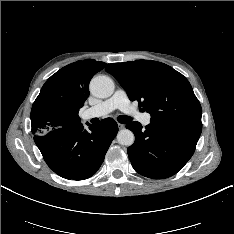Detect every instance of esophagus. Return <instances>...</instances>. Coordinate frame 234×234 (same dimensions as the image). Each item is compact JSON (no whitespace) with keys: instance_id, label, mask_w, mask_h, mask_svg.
<instances>
[{"instance_id":"1","label":"esophagus","mask_w":234,"mask_h":234,"mask_svg":"<svg viewBox=\"0 0 234 234\" xmlns=\"http://www.w3.org/2000/svg\"><path fill=\"white\" fill-rule=\"evenodd\" d=\"M118 128H119L120 130H122V129H124V128H125V125H124V124H120V123H118Z\"/></svg>"}]
</instances>
